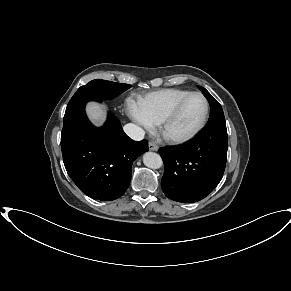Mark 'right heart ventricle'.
<instances>
[{
	"instance_id": "1",
	"label": "right heart ventricle",
	"mask_w": 291,
	"mask_h": 291,
	"mask_svg": "<svg viewBox=\"0 0 291 291\" xmlns=\"http://www.w3.org/2000/svg\"><path fill=\"white\" fill-rule=\"evenodd\" d=\"M189 93L191 92L184 89H162L140 98L138 104L153 124H159L175 105Z\"/></svg>"
}]
</instances>
